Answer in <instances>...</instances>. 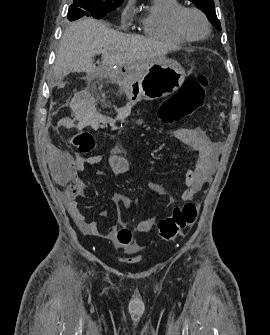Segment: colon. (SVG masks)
Returning a JSON list of instances; mask_svg holds the SVG:
<instances>
[{
  "mask_svg": "<svg viewBox=\"0 0 270 335\" xmlns=\"http://www.w3.org/2000/svg\"><path fill=\"white\" fill-rule=\"evenodd\" d=\"M208 85V78L199 75L196 78H189L182 88L170 97L164 99L158 116L165 124L182 122L187 116L198 109L204 100V89ZM70 144L83 154H91L96 150L97 144L92 133L87 131L77 132L70 137ZM197 218V205L194 201H188L177 205L171 214L159 219L157 231L160 238L170 241L177 235L193 225ZM122 244H129L132 234L128 228H122L117 234Z\"/></svg>",
  "mask_w": 270,
  "mask_h": 335,
  "instance_id": "colon-1",
  "label": "colon"
}]
</instances>
